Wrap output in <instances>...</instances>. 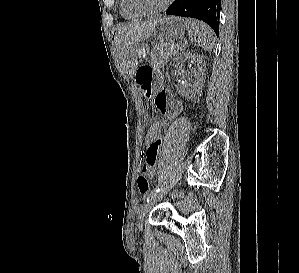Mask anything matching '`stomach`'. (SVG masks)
Here are the masks:
<instances>
[{"label": "stomach", "instance_id": "1", "mask_svg": "<svg viewBox=\"0 0 299 273\" xmlns=\"http://www.w3.org/2000/svg\"><path fill=\"white\" fill-rule=\"evenodd\" d=\"M185 30L186 23L184 19L165 17L160 19L151 35L162 42L169 43L182 37ZM143 52V48L138 49V54ZM135 72V82L143 95H150L162 79V73L157 69H152V67H135Z\"/></svg>", "mask_w": 299, "mask_h": 273}]
</instances>
